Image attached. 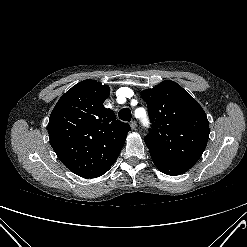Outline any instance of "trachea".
I'll return each instance as SVG.
<instances>
[{"label": "trachea", "mask_w": 247, "mask_h": 247, "mask_svg": "<svg viewBox=\"0 0 247 247\" xmlns=\"http://www.w3.org/2000/svg\"><path fill=\"white\" fill-rule=\"evenodd\" d=\"M118 116H119V118H120L121 120H123V121H128V122H130L131 117H132L131 111H130L129 108H123V109H121V110L119 111V113H118Z\"/></svg>", "instance_id": "obj_1"}]
</instances>
